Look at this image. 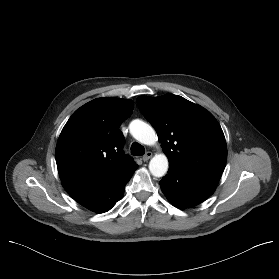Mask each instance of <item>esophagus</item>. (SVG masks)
Here are the masks:
<instances>
[{
	"label": "esophagus",
	"mask_w": 279,
	"mask_h": 279,
	"mask_svg": "<svg viewBox=\"0 0 279 279\" xmlns=\"http://www.w3.org/2000/svg\"><path fill=\"white\" fill-rule=\"evenodd\" d=\"M152 157V152L148 151L145 153V155L142 157L143 161L146 162Z\"/></svg>",
	"instance_id": "esophagus-1"
}]
</instances>
